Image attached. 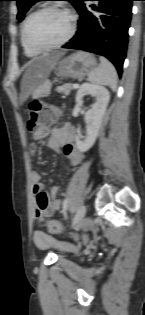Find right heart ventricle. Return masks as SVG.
<instances>
[{
  "instance_id": "obj_1",
  "label": "right heart ventricle",
  "mask_w": 145,
  "mask_h": 315,
  "mask_svg": "<svg viewBox=\"0 0 145 315\" xmlns=\"http://www.w3.org/2000/svg\"><path fill=\"white\" fill-rule=\"evenodd\" d=\"M20 40H21L22 47H23V49H24V53H25L27 56H29V57H35V56H37V55L40 54V51H36V50H34V49H31V48H29V47L25 44V42H24V40H23V36H22V30H21Z\"/></svg>"
}]
</instances>
